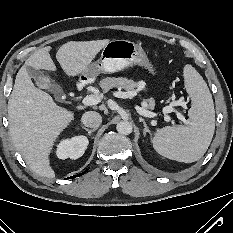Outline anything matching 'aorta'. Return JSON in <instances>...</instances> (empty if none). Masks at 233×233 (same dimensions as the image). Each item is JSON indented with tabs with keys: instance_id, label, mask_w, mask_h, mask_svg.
<instances>
[{
	"instance_id": "obj_1",
	"label": "aorta",
	"mask_w": 233,
	"mask_h": 233,
	"mask_svg": "<svg viewBox=\"0 0 233 233\" xmlns=\"http://www.w3.org/2000/svg\"><path fill=\"white\" fill-rule=\"evenodd\" d=\"M117 131L122 135H129L132 133V125L128 121H121L117 124Z\"/></svg>"
}]
</instances>
